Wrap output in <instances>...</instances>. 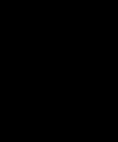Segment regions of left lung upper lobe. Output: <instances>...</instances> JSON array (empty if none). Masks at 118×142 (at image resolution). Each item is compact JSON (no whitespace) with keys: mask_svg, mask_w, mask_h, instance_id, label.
<instances>
[{"mask_svg":"<svg viewBox=\"0 0 118 142\" xmlns=\"http://www.w3.org/2000/svg\"><path fill=\"white\" fill-rule=\"evenodd\" d=\"M79 92L71 111L97 131L118 114V71L98 52L78 49L67 54Z\"/></svg>","mask_w":118,"mask_h":142,"instance_id":"5c2ea615","label":"left lung upper lobe"}]
</instances>
